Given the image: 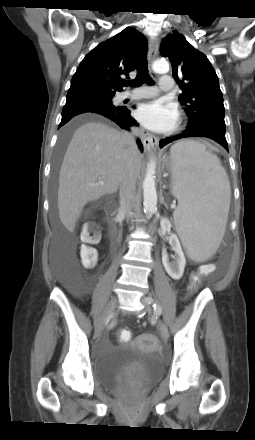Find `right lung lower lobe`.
Here are the masks:
<instances>
[{"instance_id":"right-lung-lower-lobe-1","label":"right lung lower lobe","mask_w":255,"mask_h":440,"mask_svg":"<svg viewBox=\"0 0 255 440\" xmlns=\"http://www.w3.org/2000/svg\"><path fill=\"white\" fill-rule=\"evenodd\" d=\"M83 113H96L103 115L116 122L121 128L129 130L131 126H138V123L130 116V110L124 106H115L112 99L97 97H83L74 100H67L62 111V120L59 128L65 125L71 118ZM138 146L143 150L140 140Z\"/></svg>"}]
</instances>
